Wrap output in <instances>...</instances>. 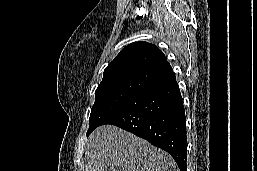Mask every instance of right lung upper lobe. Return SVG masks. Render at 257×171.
<instances>
[{
	"label": "right lung upper lobe",
	"instance_id": "1",
	"mask_svg": "<svg viewBox=\"0 0 257 171\" xmlns=\"http://www.w3.org/2000/svg\"><path fill=\"white\" fill-rule=\"evenodd\" d=\"M173 75L170 64L157 46L134 42L122 49L105 68L98 88L121 85L148 89Z\"/></svg>",
	"mask_w": 257,
	"mask_h": 171
}]
</instances>
